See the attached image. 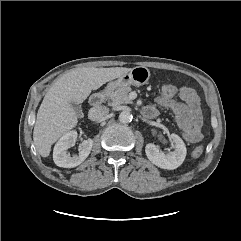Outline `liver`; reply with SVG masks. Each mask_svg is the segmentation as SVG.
Returning a JSON list of instances; mask_svg holds the SVG:
<instances>
[{
    "instance_id": "obj_1",
    "label": "liver",
    "mask_w": 241,
    "mask_h": 241,
    "mask_svg": "<svg viewBox=\"0 0 241 241\" xmlns=\"http://www.w3.org/2000/svg\"><path fill=\"white\" fill-rule=\"evenodd\" d=\"M130 70L125 67H83L61 76L46 93L37 113L33 141L38 153L48 157L52 144L77 125L78 117L71 102H84L92 90Z\"/></svg>"
}]
</instances>
